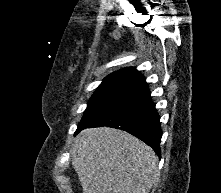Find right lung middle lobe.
<instances>
[{
	"label": "right lung middle lobe",
	"mask_w": 221,
	"mask_h": 193,
	"mask_svg": "<svg viewBox=\"0 0 221 193\" xmlns=\"http://www.w3.org/2000/svg\"><path fill=\"white\" fill-rule=\"evenodd\" d=\"M145 88L125 84H111L99 87L92 95L78 127L98 120L118 110L143 93Z\"/></svg>",
	"instance_id": "obj_1"
}]
</instances>
